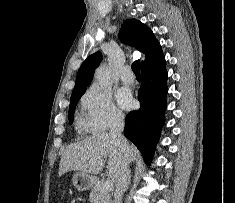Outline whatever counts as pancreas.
I'll return each instance as SVG.
<instances>
[{"instance_id":"pancreas-1","label":"pancreas","mask_w":235,"mask_h":203,"mask_svg":"<svg viewBox=\"0 0 235 203\" xmlns=\"http://www.w3.org/2000/svg\"><path fill=\"white\" fill-rule=\"evenodd\" d=\"M102 186V181H97L93 186L89 195V200L91 203H111V195L109 192H103Z\"/></svg>"}]
</instances>
